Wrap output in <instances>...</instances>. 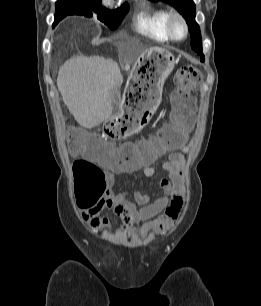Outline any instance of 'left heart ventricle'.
<instances>
[{
    "mask_svg": "<svg viewBox=\"0 0 261 306\" xmlns=\"http://www.w3.org/2000/svg\"><path fill=\"white\" fill-rule=\"evenodd\" d=\"M175 32H176V35H178V36L182 35V29L180 27H178V26L176 27Z\"/></svg>",
    "mask_w": 261,
    "mask_h": 306,
    "instance_id": "b2bd125f",
    "label": "left heart ventricle"
}]
</instances>
